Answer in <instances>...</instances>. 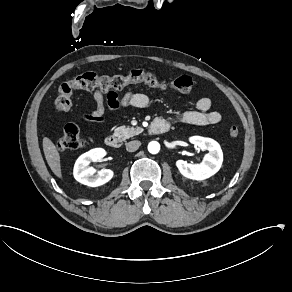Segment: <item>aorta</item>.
<instances>
[{"label":"aorta","instance_id":"aorta-1","mask_svg":"<svg viewBox=\"0 0 292 292\" xmlns=\"http://www.w3.org/2000/svg\"><path fill=\"white\" fill-rule=\"evenodd\" d=\"M148 151L151 153V154H157L159 153L160 151V144L156 141H152L149 143L148 145Z\"/></svg>","mask_w":292,"mask_h":292}]
</instances>
